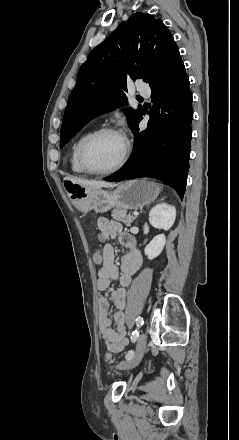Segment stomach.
<instances>
[{
  "instance_id": "0dacf381",
  "label": "stomach",
  "mask_w": 239,
  "mask_h": 440,
  "mask_svg": "<svg viewBox=\"0 0 239 440\" xmlns=\"http://www.w3.org/2000/svg\"><path fill=\"white\" fill-rule=\"evenodd\" d=\"M67 194L73 200L79 212H108L111 208L120 210H135L143 208L156 200L161 192V184L143 180H128L118 186L114 192H105L100 188H82L79 184L69 182L66 186Z\"/></svg>"
}]
</instances>
